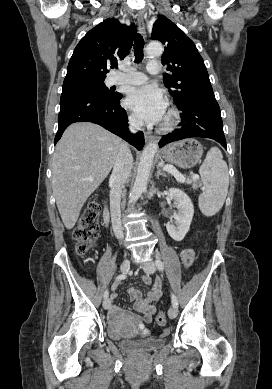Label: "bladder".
I'll return each mask as SVG.
<instances>
[{
  "instance_id": "1",
  "label": "bladder",
  "mask_w": 272,
  "mask_h": 389,
  "mask_svg": "<svg viewBox=\"0 0 272 389\" xmlns=\"http://www.w3.org/2000/svg\"><path fill=\"white\" fill-rule=\"evenodd\" d=\"M108 335L115 340L119 348L129 354L140 355L155 351L165 344L163 338H151L141 341L124 340L117 337L116 332L112 328H108Z\"/></svg>"
}]
</instances>
